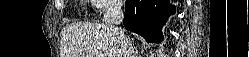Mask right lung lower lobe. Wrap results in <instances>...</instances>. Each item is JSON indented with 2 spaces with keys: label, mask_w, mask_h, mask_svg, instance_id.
Returning <instances> with one entry per match:
<instances>
[{
  "label": "right lung lower lobe",
  "mask_w": 249,
  "mask_h": 57,
  "mask_svg": "<svg viewBox=\"0 0 249 57\" xmlns=\"http://www.w3.org/2000/svg\"><path fill=\"white\" fill-rule=\"evenodd\" d=\"M175 6L169 0H127L123 24L129 31L145 38L147 42L162 40L161 28Z\"/></svg>",
  "instance_id": "98d812e1"
}]
</instances>
